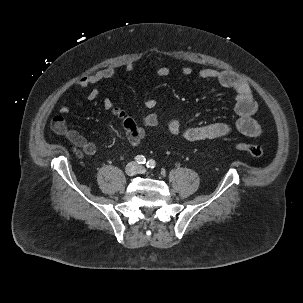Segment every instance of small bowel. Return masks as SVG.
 Masks as SVG:
<instances>
[{
    "instance_id": "obj_1",
    "label": "small bowel",
    "mask_w": 303,
    "mask_h": 303,
    "mask_svg": "<svg viewBox=\"0 0 303 303\" xmlns=\"http://www.w3.org/2000/svg\"><path fill=\"white\" fill-rule=\"evenodd\" d=\"M136 64L132 61L126 63L125 70L129 73L134 72ZM192 68L189 66L181 69V74L189 76L192 74ZM170 69L162 66L155 71L157 77H165L169 75ZM115 68L112 66L103 68L93 74L83 76L76 82V86L80 90L88 89L87 98L95 100L99 95V86L101 82L113 78ZM201 80H214L224 88L230 89L235 94V112L236 119L233 124L224 122H216L204 125L183 126L179 119H171L168 123V130L174 136H179L185 140L196 142L221 138L229 135L233 130L247 137H256L261 133V126L254 119L257 112V103L255 102L250 86L241 80L232 72L220 71L216 69H204L198 73ZM156 100L148 97L145 100V106L153 109L156 106ZM104 108L114 117L121 121L125 134L131 146H137L145 137L146 127H157L160 119L155 113H147L141 117L140 122L136 121L123 109L115 106L110 98H106L103 102ZM70 111L67 101H63L60 106V114L52 120L53 130L65 136L73 145L81 148L85 154L94 155L96 153V145L87 140L77 130L68 128L64 116Z\"/></svg>"
}]
</instances>
